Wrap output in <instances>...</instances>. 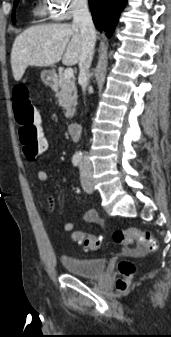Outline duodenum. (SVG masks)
<instances>
[{
    "label": "duodenum",
    "mask_w": 171,
    "mask_h": 337,
    "mask_svg": "<svg viewBox=\"0 0 171 337\" xmlns=\"http://www.w3.org/2000/svg\"><path fill=\"white\" fill-rule=\"evenodd\" d=\"M80 131H81V125L79 123H71L68 126V133L74 139L79 138Z\"/></svg>",
    "instance_id": "410a0bca"
}]
</instances>
